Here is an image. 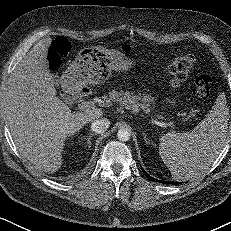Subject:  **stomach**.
I'll return each mask as SVG.
<instances>
[{
    "label": "stomach",
    "instance_id": "1",
    "mask_svg": "<svg viewBox=\"0 0 231 231\" xmlns=\"http://www.w3.org/2000/svg\"><path fill=\"white\" fill-rule=\"evenodd\" d=\"M135 60L115 50L101 48L82 49L63 74V82L68 87L104 82L112 70L127 71L135 65Z\"/></svg>",
    "mask_w": 231,
    "mask_h": 231
}]
</instances>
